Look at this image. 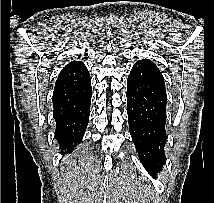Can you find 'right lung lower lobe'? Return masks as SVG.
<instances>
[{"label":"right lung lower lobe","mask_w":214,"mask_h":203,"mask_svg":"<svg viewBox=\"0 0 214 203\" xmlns=\"http://www.w3.org/2000/svg\"><path fill=\"white\" fill-rule=\"evenodd\" d=\"M91 78L84 64L62 72L53 92L55 138L65 153H71L83 138L89 122Z\"/></svg>","instance_id":"98d812e1"}]
</instances>
